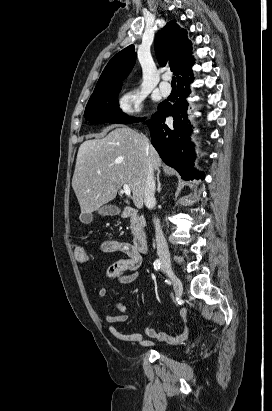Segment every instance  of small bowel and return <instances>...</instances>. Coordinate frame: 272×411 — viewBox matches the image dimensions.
Wrapping results in <instances>:
<instances>
[{"label":"small bowel","instance_id":"small-bowel-1","mask_svg":"<svg viewBox=\"0 0 272 411\" xmlns=\"http://www.w3.org/2000/svg\"><path fill=\"white\" fill-rule=\"evenodd\" d=\"M101 251L104 253L117 252L123 257L119 258L109 266L105 274L104 283L106 285L113 283L129 284L135 282L139 278V268L142 264L141 254L134 248L133 244L125 241L108 240L101 244ZM108 290L106 286H101L98 290L100 297H106ZM112 307L119 312L118 315H113L109 311L104 312V320L109 324V332L117 340L124 342L137 343L144 347H152L154 343L151 340L144 339L141 333H123L115 326L116 323H125L130 320V313L125 305L120 302L112 301ZM144 334L159 341L168 343H182L189 335L188 328L185 327L184 332L176 337H170L164 332L157 331L149 326H144ZM175 338V341L173 339Z\"/></svg>","mask_w":272,"mask_h":411}]
</instances>
